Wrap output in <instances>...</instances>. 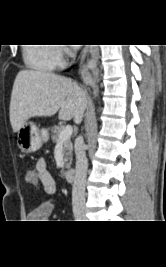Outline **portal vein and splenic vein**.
Here are the masks:
<instances>
[{
    "label": "portal vein and splenic vein",
    "mask_w": 166,
    "mask_h": 267,
    "mask_svg": "<svg viewBox=\"0 0 166 267\" xmlns=\"http://www.w3.org/2000/svg\"><path fill=\"white\" fill-rule=\"evenodd\" d=\"M73 132V128L70 125H67L64 127V129L62 130V132L59 135V143H62L64 141H66L67 139H69L72 135Z\"/></svg>",
    "instance_id": "18ae733b"
}]
</instances>
